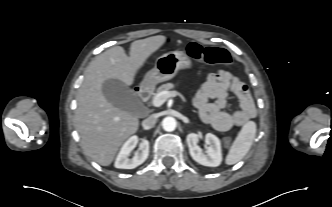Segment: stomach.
Segmentation results:
<instances>
[{
  "label": "stomach",
  "mask_w": 332,
  "mask_h": 207,
  "mask_svg": "<svg viewBox=\"0 0 332 207\" xmlns=\"http://www.w3.org/2000/svg\"><path fill=\"white\" fill-rule=\"evenodd\" d=\"M191 67V59L185 52H167L156 59L154 68L145 74L141 87L152 89L156 84L175 77L180 69H190Z\"/></svg>",
  "instance_id": "0dacf381"
}]
</instances>
